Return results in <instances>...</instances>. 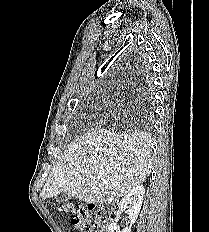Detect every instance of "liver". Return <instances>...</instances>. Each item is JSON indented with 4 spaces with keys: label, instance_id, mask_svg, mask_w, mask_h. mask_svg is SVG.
I'll return each mask as SVG.
<instances>
[{
    "label": "liver",
    "instance_id": "1",
    "mask_svg": "<svg viewBox=\"0 0 209 232\" xmlns=\"http://www.w3.org/2000/svg\"><path fill=\"white\" fill-rule=\"evenodd\" d=\"M151 147V139L143 132L93 131L64 151L41 197L65 194L87 203L116 201L149 176Z\"/></svg>",
    "mask_w": 209,
    "mask_h": 232
}]
</instances>
